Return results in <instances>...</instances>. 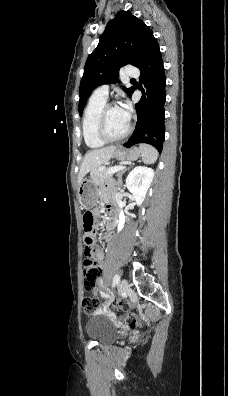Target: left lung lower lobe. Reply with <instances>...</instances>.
Listing matches in <instances>:
<instances>
[{
    "label": "left lung lower lobe",
    "instance_id": "1",
    "mask_svg": "<svg viewBox=\"0 0 228 396\" xmlns=\"http://www.w3.org/2000/svg\"><path fill=\"white\" fill-rule=\"evenodd\" d=\"M139 69L141 72L139 90L142 91V98L135 105L138 119L133 135L124 146L129 148L135 144L147 143L154 146L161 153L165 137L164 104L166 100V77L156 39L153 41L145 61Z\"/></svg>",
    "mask_w": 228,
    "mask_h": 396
}]
</instances>
